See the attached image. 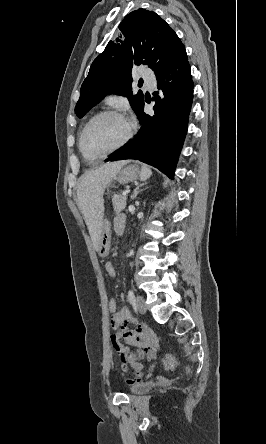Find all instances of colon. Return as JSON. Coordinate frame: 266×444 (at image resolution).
<instances>
[{
    "label": "colon",
    "mask_w": 266,
    "mask_h": 444,
    "mask_svg": "<svg viewBox=\"0 0 266 444\" xmlns=\"http://www.w3.org/2000/svg\"><path fill=\"white\" fill-rule=\"evenodd\" d=\"M107 309L108 312L112 315L117 312V304L114 298H109L107 301ZM132 357H136L135 354H132ZM177 359L172 355H167L163 357L162 364L167 369H173L177 365ZM188 372H191V367L188 368Z\"/></svg>",
    "instance_id": "1"
}]
</instances>
